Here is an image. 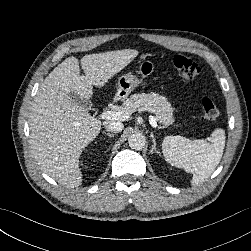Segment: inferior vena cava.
I'll return each mask as SVG.
<instances>
[{
  "label": "inferior vena cava",
  "instance_id": "inferior-vena-cava-1",
  "mask_svg": "<svg viewBox=\"0 0 251 251\" xmlns=\"http://www.w3.org/2000/svg\"><path fill=\"white\" fill-rule=\"evenodd\" d=\"M103 125L107 131H111L115 133L121 132L124 127L121 122H115V121H105Z\"/></svg>",
  "mask_w": 251,
  "mask_h": 251
}]
</instances>
